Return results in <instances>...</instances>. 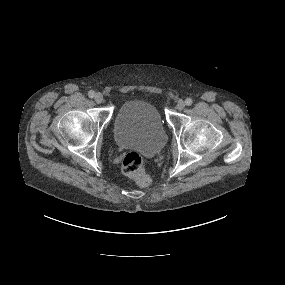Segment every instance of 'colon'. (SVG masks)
Wrapping results in <instances>:
<instances>
[{"label": "colon", "instance_id": "1", "mask_svg": "<svg viewBox=\"0 0 285 285\" xmlns=\"http://www.w3.org/2000/svg\"><path fill=\"white\" fill-rule=\"evenodd\" d=\"M122 170L140 186L146 187L151 183V179L144 169L143 157L137 152H129L124 156Z\"/></svg>", "mask_w": 285, "mask_h": 285}]
</instances>
